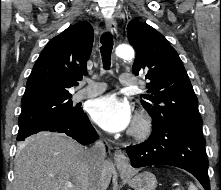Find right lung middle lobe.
Returning a JSON list of instances; mask_svg holds the SVG:
<instances>
[{
	"instance_id": "right-lung-middle-lobe-1",
	"label": "right lung middle lobe",
	"mask_w": 221,
	"mask_h": 190,
	"mask_svg": "<svg viewBox=\"0 0 221 190\" xmlns=\"http://www.w3.org/2000/svg\"><path fill=\"white\" fill-rule=\"evenodd\" d=\"M81 113V109L72 106L71 98L24 106L18 119V134L51 123H69L77 119Z\"/></svg>"
}]
</instances>
